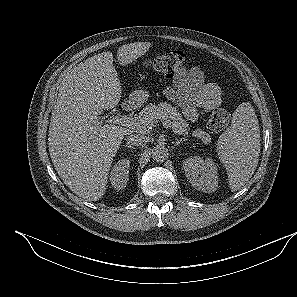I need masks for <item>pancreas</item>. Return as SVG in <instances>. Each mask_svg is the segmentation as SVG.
<instances>
[{"instance_id": "pancreas-1", "label": "pancreas", "mask_w": 297, "mask_h": 297, "mask_svg": "<svg viewBox=\"0 0 297 297\" xmlns=\"http://www.w3.org/2000/svg\"><path fill=\"white\" fill-rule=\"evenodd\" d=\"M138 120L143 122V128L140 130L146 133H150L159 121L172 128L173 132L178 135H188L190 131L189 123L182 118L176 108L167 103L148 104L141 110ZM192 135L205 143L210 142L209 134L201 129L194 130Z\"/></svg>"}]
</instances>
